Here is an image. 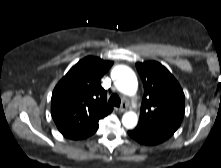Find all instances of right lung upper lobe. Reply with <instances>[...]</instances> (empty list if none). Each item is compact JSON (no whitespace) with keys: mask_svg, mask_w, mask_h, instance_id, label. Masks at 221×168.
Wrapping results in <instances>:
<instances>
[{"mask_svg":"<svg viewBox=\"0 0 221 168\" xmlns=\"http://www.w3.org/2000/svg\"><path fill=\"white\" fill-rule=\"evenodd\" d=\"M112 61L88 56L74 65L58 82L51 98V114L67 138L81 137L98 129V122L111 113L100 79Z\"/></svg>","mask_w":221,"mask_h":168,"instance_id":"obj_1","label":"right lung upper lobe"}]
</instances>
